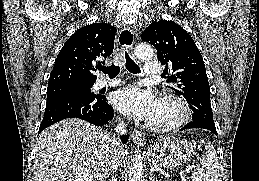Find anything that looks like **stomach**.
I'll use <instances>...</instances> for the list:
<instances>
[{"label":"stomach","mask_w":259,"mask_h":181,"mask_svg":"<svg viewBox=\"0 0 259 181\" xmlns=\"http://www.w3.org/2000/svg\"><path fill=\"white\" fill-rule=\"evenodd\" d=\"M194 153V146L187 140L163 137L151 146L148 158L155 167L177 168L189 162Z\"/></svg>","instance_id":"1"}]
</instances>
